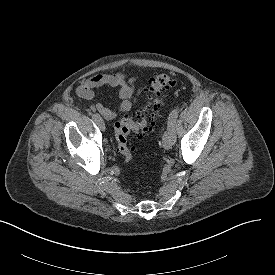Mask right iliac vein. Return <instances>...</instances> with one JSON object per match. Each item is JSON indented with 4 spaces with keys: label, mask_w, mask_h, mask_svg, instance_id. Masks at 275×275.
<instances>
[{
    "label": "right iliac vein",
    "mask_w": 275,
    "mask_h": 275,
    "mask_svg": "<svg viewBox=\"0 0 275 275\" xmlns=\"http://www.w3.org/2000/svg\"><path fill=\"white\" fill-rule=\"evenodd\" d=\"M96 123L101 131H105V123L103 119L100 118L99 120L96 121Z\"/></svg>",
    "instance_id": "obj_1"
}]
</instances>
